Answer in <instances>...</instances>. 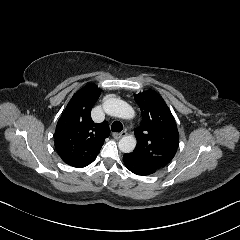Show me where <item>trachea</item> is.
I'll list each match as a JSON object with an SVG mask.
<instances>
[{
    "instance_id": "3493384b",
    "label": "trachea",
    "mask_w": 240,
    "mask_h": 240,
    "mask_svg": "<svg viewBox=\"0 0 240 240\" xmlns=\"http://www.w3.org/2000/svg\"><path fill=\"white\" fill-rule=\"evenodd\" d=\"M122 129H123V125H122V123L119 122V121H114V122L112 123V125H111V130H112L113 132H121Z\"/></svg>"
}]
</instances>
